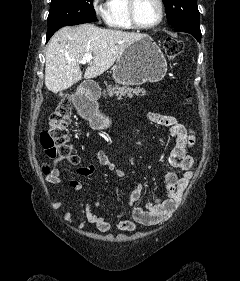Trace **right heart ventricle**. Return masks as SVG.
<instances>
[{"mask_svg": "<svg viewBox=\"0 0 240 281\" xmlns=\"http://www.w3.org/2000/svg\"><path fill=\"white\" fill-rule=\"evenodd\" d=\"M106 24L118 30H131L128 16V0H107Z\"/></svg>", "mask_w": 240, "mask_h": 281, "instance_id": "obj_1", "label": "right heart ventricle"}]
</instances>
